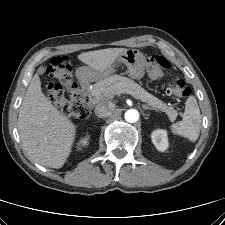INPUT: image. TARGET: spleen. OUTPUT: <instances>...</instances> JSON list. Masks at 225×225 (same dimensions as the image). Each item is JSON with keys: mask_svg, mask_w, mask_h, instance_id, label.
Segmentation results:
<instances>
[{"mask_svg": "<svg viewBox=\"0 0 225 225\" xmlns=\"http://www.w3.org/2000/svg\"><path fill=\"white\" fill-rule=\"evenodd\" d=\"M201 114L197 100L194 96L187 98L185 112L181 121L170 126L173 134L179 135L195 142L200 134Z\"/></svg>", "mask_w": 225, "mask_h": 225, "instance_id": "3e777b00", "label": "spleen"}]
</instances>
